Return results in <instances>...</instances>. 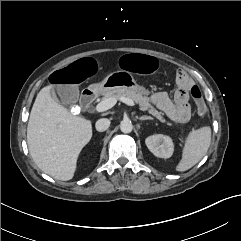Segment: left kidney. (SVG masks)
Masks as SVG:
<instances>
[{"label": "left kidney", "mask_w": 241, "mask_h": 241, "mask_svg": "<svg viewBox=\"0 0 241 241\" xmlns=\"http://www.w3.org/2000/svg\"><path fill=\"white\" fill-rule=\"evenodd\" d=\"M145 143L150 152H152L156 157L167 159L173 154L174 145L169 136L154 134L147 137Z\"/></svg>", "instance_id": "1"}]
</instances>
